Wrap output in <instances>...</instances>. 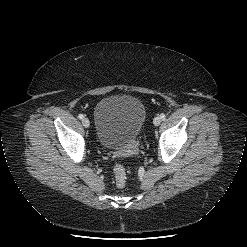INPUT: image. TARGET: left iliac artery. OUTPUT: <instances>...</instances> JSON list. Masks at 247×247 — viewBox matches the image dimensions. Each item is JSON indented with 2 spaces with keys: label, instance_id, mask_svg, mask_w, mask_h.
Instances as JSON below:
<instances>
[{
  "label": "left iliac artery",
  "instance_id": "left-iliac-artery-1",
  "mask_svg": "<svg viewBox=\"0 0 247 247\" xmlns=\"http://www.w3.org/2000/svg\"><path fill=\"white\" fill-rule=\"evenodd\" d=\"M160 117H161V119H164V118L166 117V115H165L164 113H162V114L160 115Z\"/></svg>",
  "mask_w": 247,
  "mask_h": 247
}]
</instances>
